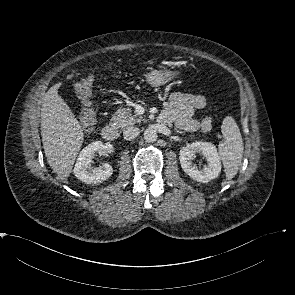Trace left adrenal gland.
<instances>
[{"label": "left adrenal gland", "instance_id": "a2214340", "mask_svg": "<svg viewBox=\"0 0 295 295\" xmlns=\"http://www.w3.org/2000/svg\"><path fill=\"white\" fill-rule=\"evenodd\" d=\"M175 131H176L177 133H179V134H184V133H185V132L180 131V130H178V129H175Z\"/></svg>", "mask_w": 295, "mask_h": 295}]
</instances>
